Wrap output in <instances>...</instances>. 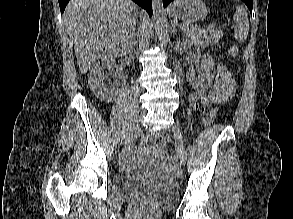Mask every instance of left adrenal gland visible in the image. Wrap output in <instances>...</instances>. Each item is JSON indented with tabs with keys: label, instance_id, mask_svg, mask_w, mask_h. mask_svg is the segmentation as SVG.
<instances>
[{
	"label": "left adrenal gland",
	"instance_id": "obj_1",
	"mask_svg": "<svg viewBox=\"0 0 293 219\" xmlns=\"http://www.w3.org/2000/svg\"><path fill=\"white\" fill-rule=\"evenodd\" d=\"M172 27H173V32L175 33L178 30L177 22L176 21H173L172 22Z\"/></svg>",
	"mask_w": 293,
	"mask_h": 219
}]
</instances>
